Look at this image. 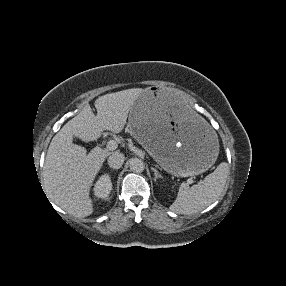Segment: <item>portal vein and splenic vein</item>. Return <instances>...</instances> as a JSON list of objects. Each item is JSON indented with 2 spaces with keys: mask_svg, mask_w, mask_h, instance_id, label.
I'll list each match as a JSON object with an SVG mask.
<instances>
[{
  "mask_svg": "<svg viewBox=\"0 0 286 286\" xmlns=\"http://www.w3.org/2000/svg\"><path fill=\"white\" fill-rule=\"evenodd\" d=\"M106 147L108 150H115L118 147V143L115 140H110ZM193 182L194 181L192 179H188L189 184H192Z\"/></svg>",
  "mask_w": 286,
  "mask_h": 286,
  "instance_id": "portal-vein-and-splenic-vein-1",
  "label": "portal vein and splenic vein"
}]
</instances>
